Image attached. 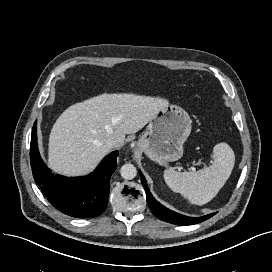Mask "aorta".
I'll return each instance as SVG.
<instances>
[{
  "label": "aorta",
  "mask_w": 272,
  "mask_h": 272,
  "mask_svg": "<svg viewBox=\"0 0 272 272\" xmlns=\"http://www.w3.org/2000/svg\"><path fill=\"white\" fill-rule=\"evenodd\" d=\"M121 176L126 180H131L136 177L137 170L133 164H124L120 170Z\"/></svg>",
  "instance_id": "1"
}]
</instances>
